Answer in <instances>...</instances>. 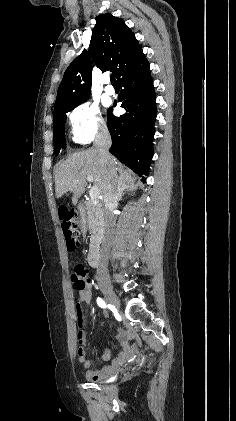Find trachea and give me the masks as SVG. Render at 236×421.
<instances>
[{"instance_id":"trachea-1","label":"trachea","mask_w":236,"mask_h":421,"mask_svg":"<svg viewBox=\"0 0 236 421\" xmlns=\"http://www.w3.org/2000/svg\"><path fill=\"white\" fill-rule=\"evenodd\" d=\"M110 80H111V82H112V83H117V81H116V79H115V75H114V74H111V75H110Z\"/></svg>"}]
</instances>
